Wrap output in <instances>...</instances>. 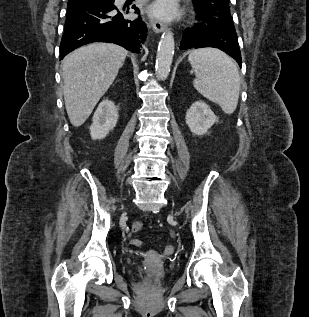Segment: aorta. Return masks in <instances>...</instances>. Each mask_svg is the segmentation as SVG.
I'll return each mask as SVG.
<instances>
[{
	"label": "aorta",
	"mask_w": 309,
	"mask_h": 317,
	"mask_svg": "<svg viewBox=\"0 0 309 317\" xmlns=\"http://www.w3.org/2000/svg\"><path fill=\"white\" fill-rule=\"evenodd\" d=\"M174 49L173 33L171 31L163 33L156 55V73L160 80H165L170 73Z\"/></svg>",
	"instance_id": "aorta-1"
}]
</instances>
